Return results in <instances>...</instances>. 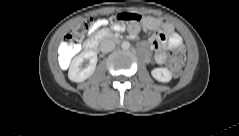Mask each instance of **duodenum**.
Returning <instances> with one entry per match:
<instances>
[{"label":"duodenum","instance_id":"410a0bca","mask_svg":"<svg viewBox=\"0 0 239 136\" xmlns=\"http://www.w3.org/2000/svg\"><path fill=\"white\" fill-rule=\"evenodd\" d=\"M98 46H99V39L98 38L90 39V40L86 41L85 44H84V48L87 51H97Z\"/></svg>","mask_w":239,"mask_h":136}]
</instances>
